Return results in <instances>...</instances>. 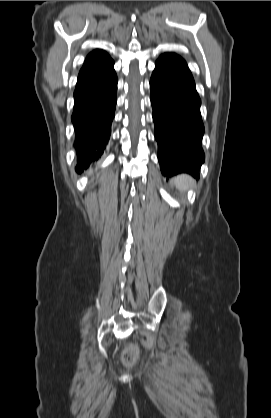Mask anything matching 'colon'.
I'll return each instance as SVG.
<instances>
[{
    "instance_id": "5ec220e1",
    "label": "colon",
    "mask_w": 271,
    "mask_h": 418,
    "mask_svg": "<svg viewBox=\"0 0 271 418\" xmlns=\"http://www.w3.org/2000/svg\"><path fill=\"white\" fill-rule=\"evenodd\" d=\"M136 357V350L134 348H130L126 353V360H133Z\"/></svg>"
}]
</instances>
